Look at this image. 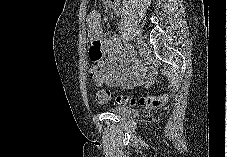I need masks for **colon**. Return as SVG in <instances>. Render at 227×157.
Listing matches in <instances>:
<instances>
[{"label": "colon", "instance_id": "1", "mask_svg": "<svg viewBox=\"0 0 227 157\" xmlns=\"http://www.w3.org/2000/svg\"><path fill=\"white\" fill-rule=\"evenodd\" d=\"M102 72V69L99 64H95L90 69V76L91 78L96 77L100 75ZM110 92L107 89H100L96 92L95 98L96 101L99 104H105L110 100ZM168 95L164 94L161 96H155V95H147V96H141L139 98H134L127 95H118L115 97V103L119 106H147V107H161L165 105L168 101Z\"/></svg>", "mask_w": 227, "mask_h": 157}]
</instances>
